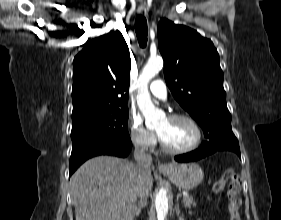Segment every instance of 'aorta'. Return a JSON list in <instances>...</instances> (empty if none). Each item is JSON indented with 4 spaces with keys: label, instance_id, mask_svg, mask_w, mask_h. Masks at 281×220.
Instances as JSON below:
<instances>
[{
    "label": "aorta",
    "instance_id": "1",
    "mask_svg": "<svg viewBox=\"0 0 281 220\" xmlns=\"http://www.w3.org/2000/svg\"><path fill=\"white\" fill-rule=\"evenodd\" d=\"M163 60L160 57L150 58L144 66L137 83V104L145 117V124L148 128L153 127L162 116L153 104L149 90V81L161 70ZM155 207L158 220H164L168 213V197L167 193L160 190L155 197Z\"/></svg>",
    "mask_w": 281,
    "mask_h": 220
}]
</instances>
